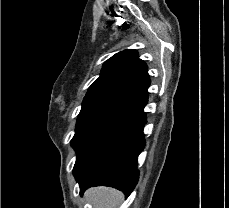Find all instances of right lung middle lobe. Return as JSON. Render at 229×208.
Returning a JSON list of instances; mask_svg holds the SVG:
<instances>
[{
	"label": "right lung middle lobe",
	"mask_w": 229,
	"mask_h": 208,
	"mask_svg": "<svg viewBox=\"0 0 229 208\" xmlns=\"http://www.w3.org/2000/svg\"><path fill=\"white\" fill-rule=\"evenodd\" d=\"M145 105L106 98L82 105L71 145L78 153L74 170L97 146L118 133L143 113Z\"/></svg>",
	"instance_id": "1"
}]
</instances>
